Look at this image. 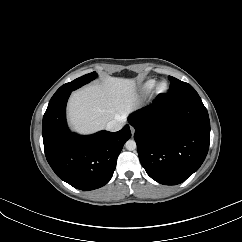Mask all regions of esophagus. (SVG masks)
<instances>
[{
  "label": "esophagus",
  "instance_id": "obj_1",
  "mask_svg": "<svg viewBox=\"0 0 242 242\" xmlns=\"http://www.w3.org/2000/svg\"><path fill=\"white\" fill-rule=\"evenodd\" d=\"M130 129H131L132 135H134L135 129L132 126H130Z\"/></svg>",
  "mask_w": 242,
  "mask_h": 242
}]
</instances>
